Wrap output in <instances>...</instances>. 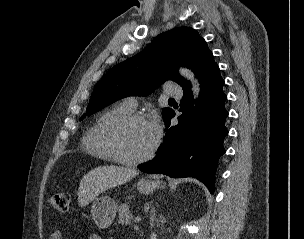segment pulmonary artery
Returning a JSON list of instances; mask_svg holds the SVG:
<instances>
[{"label":"pulmonary artery","mask_w":304,"mask_h":239,"mask_svg":"<svg viewBox=\"0 0 304 239\" xmlns=\"http://www.w3.org/2000/svg\"><path fill=\"white\" fill-rule=\"evenodd\" d=\"M166 93L171 97H181L182 96V89L178 87L177 85L170 84L168 85L166 89ZM125 104L129 106L130 108H135L137 106V100L135 97H128L125 100Z\"/></svg>","instance_id":"e3ab8cb5"}]
</instances>
